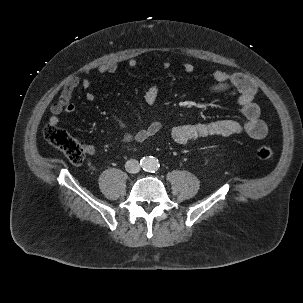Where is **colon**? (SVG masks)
Segmentation results:
<instances>
[{"label":"colon","mask_w":303,"mask_h":303,"mask_svg":"<svg viewBox=\"0 0 303 303\" xmlns=\"http://www.w3.org/2000/svg\"><path fill=\"white\" fill-rule=\"evenodd\" d=\"M43 134L48 143L62 152L71 163L79 165L84 162L86 158L85 149L66 130L49 123ZM256 155L262 160H267L272 157L273 151L268 146H261L257 148Z\"/></svg>","instance_id":"colon-1"}]
</instances>
